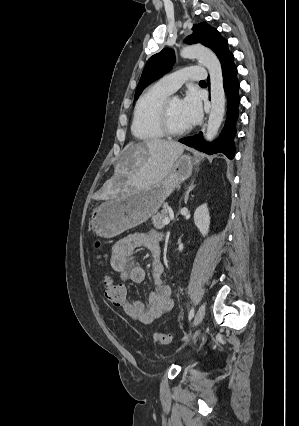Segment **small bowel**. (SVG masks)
Instances as JSON below:
<instances>
[{
    "mask_svg": "<svg viewBox=\"0 0 299 426\" xmlns=\"http://www.w3.org/2000/svg\"><path fill=\"white\" fill-rule=\"evenodd\" d=\"M161 239V234L154 230L136 232L118 240L112 247L110 265L119 274L125 287L127 282L139 284L145 279V271L142 266L131 260L134 251L143 246L151 254L155 291L149 293L146 305L139 301L126 300L122 306L128 316L143 324L153 322L162 314L170 311L174 304L171 287L163 280L164 263L160 257Z\"/></svg>",
    "mask_w": 299,
    "mask_h": 426,
    "instance_id": "small-bowel-1",
    "label": "small bowel"
}]
</instances>
